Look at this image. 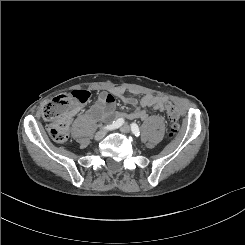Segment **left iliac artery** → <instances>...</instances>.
Returning a JSON list of instances; mask_svg holds the SVG:
<instances>
[{"mask_svg": "<svg viewBox=\"0 0 245 245\" xmlns=\"http://www.w3.org/2000/svg\"><path fill=\"white\" fill-rule=\"evenodd\" d=\"M131 130H132V132H133V134L135 136H139L140 135L139 127H138V125L136 123H132L131 124Z\"/></svg>", "mask_w": 245, "mask_h": 245, "instance_id": "44dca946", "label": "left iliac artery"}]
</instances>
